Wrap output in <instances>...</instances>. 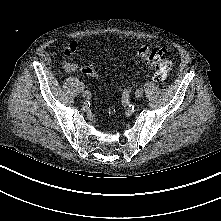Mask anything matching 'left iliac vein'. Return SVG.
<instances>
[{
  "label": "left iliac vein",
  "instance_id": "obj_1",
  "mask_svg": "<svg viewBox=\"0 0 221 221\" xmlns=\"http://www.w3.org/2000/svg\"><path fill=\"white\" fill-rule=\"evenodd\" d=\"M143 94H144V90L142 88L137 89L136 92H135L136 97H142Z\"/></svg>",
  "mask_w": 221,
  "mask_h": 221
}]
</instances>
